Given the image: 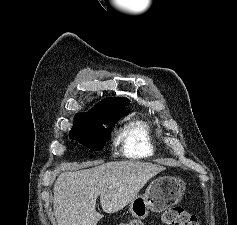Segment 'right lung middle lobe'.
Here are the masks:
<instances>
[{
	"mask_svg": "<svg viewBox=\"0 0 237 225\" xmlns=\"http://www.w3.org/2000/svg\"><path fill=\"white\" fill-rule=\"evenodd\" d=\"M124 115H114L109 112L97 111L85 124H74L70 136L91 150L98 151L110 139V131L103 125H114Z\"/></svg>",
	"mask_w": 237,
	"mask_h": 225,
	"instance_id": "dd1d6c3e",
	"label": "right lung middle lobe"
}]
</instances>
